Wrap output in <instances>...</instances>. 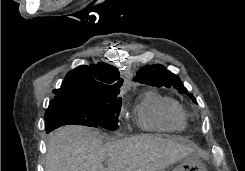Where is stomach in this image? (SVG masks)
<instances>
[{
    "instance_id": "obj_1",
    "label": "stomach",
    "mask_w": 245,
    "mask_h": 171,
    "mask_svg": "<svg viewBox=\"0 0 245 171\" xmlns=\"http://www.w3.org/2000/svg\"><path fill=\"white\" fill-rule=\"evenodd\" d=\"M165 171V170H160ZM174 171H208L206 164L203 162L198 153H193L179 161V165Z\"/></svg>"
}]
</instances>
